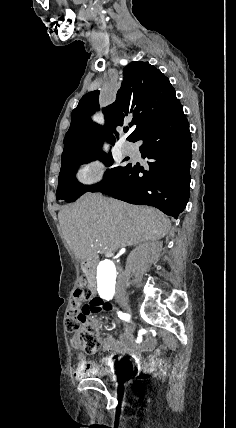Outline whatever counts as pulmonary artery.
<instances>
[{
  "label": "pulmonary artery",
  "mask_w": 236,
  "mask_h": 428,
  "mask_svg": "<svg viewBox=\"0 0 236 428\" xmlns=\"http://www.w3.org/2000/svg\"><path fill=\"white\" fill-rule=\"evenodd\" d=\"M121 150L124 154H132L135 151V146L132 143L124 142L121 145Z\"/></svg>",
  "instance_id": "e3ab8cb5"
}]
</instances>
